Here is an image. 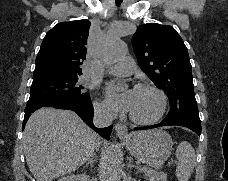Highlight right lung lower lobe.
<instances>
[{
	"label": "right lung lower lobe",
	"instance_id": "98d812e1",
	"mask_svg": "<svg viewBox=\"0 0 228 181\" xmlns=\"http://www.w3.org/2000/svg\"><path fill=\"white\" fill-rule=\"evenodd\" d=\"M42 107H54L58 109H69L75 111L81 119L92 129H94L98 134H100L105 139H110V134L112 131V126L106 128H96L93 125V106L92 103L89 104H77L60 99H36L29 100L25 108V116L23 121V126L27 122L31 113Z\"/></svg>",
	"mask_w": 228,
	"mask_h": 181
}]
</instances>
